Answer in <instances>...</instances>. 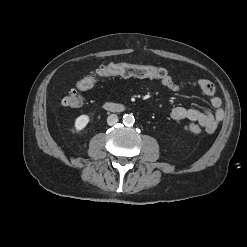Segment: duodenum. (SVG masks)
<instances>
[{
    "instance_id": "obj_1",
    "label": "duodenum",
    "mask_w": 247,
    "mask_h": 247,
    "mask_svg": "<svg viewBox=\"0 0 247 247\" xmlns=\"http://www.w3.org/2000/svg\"><path fill=\"white\" fill-rule=\"evenodd\" d=\"M105 108L111 111H120L122 109L120 105L111 102L106 103Z\"/></svg>"
}]
</instances>
